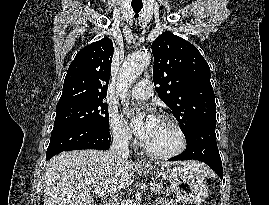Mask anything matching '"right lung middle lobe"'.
<instances>
[{
  "instance_id": "obj_1",
  "label": "right lung middle lobe",
  "mask_w": 269,
  "mask_h": 205,
  "mask_svg": "<svg viewBox=\"0 0 269 205\" xmlns=\"http://www.w3.org/2000/svg\"><path fill=\"white\" fill-rule=\"evenodd\" d=\"M62 124H83L109 130L108 105L103 101H91L57 106L54 126Z\"/></svg>"
}]
</instances>
